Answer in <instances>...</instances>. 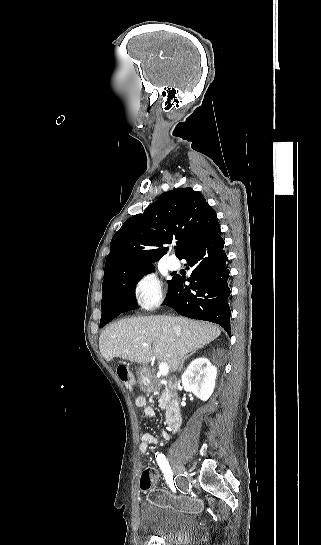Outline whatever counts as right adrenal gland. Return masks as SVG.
Segmentation results:
<instances>
[{"instance_id":"obj_1","label":"right adrenal gland","mask_w":321,"mask_h":545,"mask_svg":"<svg viewBox=\"0 0 321 545\" xmlns=\"http://www.w3.org/2000/svg\"><path fill=\"white\" fill-rule=\"evenodd\" d=\"M198 349H203V347H198ZM198 349H194V351H192V353H190V355H193V353H197ZM190 355H186V357H184V359H182L178 371H181V369H182V367L184 365V361H186V359H188V357H190Z\"/></svg>"}]
</instances>
